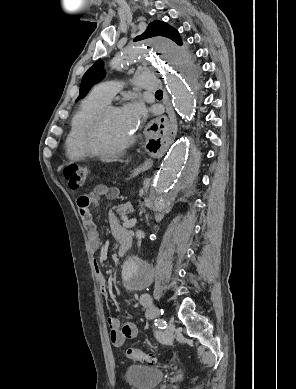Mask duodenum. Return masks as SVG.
<instances>
[{
    "label": "duodenum",
    "instance_id": "410a0bca",
    "mask_svg": "<svg viewBox=\"0 0 296 389\" xmlns=\"http://www.w3.org/2000/svg\"><path fill=\"white\" fill-rule=\"evenodd\" d=\"M120 248L118 250V256H122L130 247L131 242H132V237L131 236H124L120 238Z\"/></svg>",
    "mask_w": 296,
    "mask_h": 389
}]
</instances>
